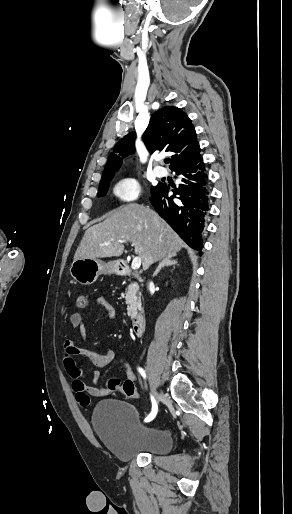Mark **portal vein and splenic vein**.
Here are the masks:
<instances>
[{
	"mask_svg": "<svg viewBox=\"0 0 292 514\" xmlns=\"http://www.w3.org/2000/svg\"><path fill=\"white\" fill-rule=\"evenodd\" d=\"M118 242H121V244H124V242H126V240H118ZM140 266H141V258H134V260L131 264L132 270H138V268H140Z\"/></svg>",
	"mask_w": 292,
	"mask_h": 514,
	"instance_id": "portal-vein-and-splenic-vein-1",
	"label": "portal vein and splenic vein"
}]
</instances>
